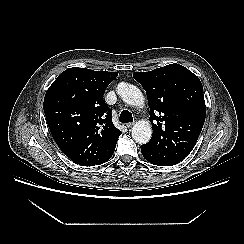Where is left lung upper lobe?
I'll return each instance as SVG.
<instances>
[{
    "instance_id": "1",
    "label": "left lung upper lobe",
    "mask_w": 244,
    "mask_h": 244,
    "mask_svg": "<svg viewBox=\"0 0 244 244\" xmlns=\"http://www.w3.org/2000/svg\"><path fill=\"white\" fill-rule=\"evenodd\" d=\"M133 77L146 91L150 107L153 135L143 145L149 162L158 166L179 163L193 149L206 117L199 78L179 64L135 72Z\"/></svg>"
}]
</instances>
